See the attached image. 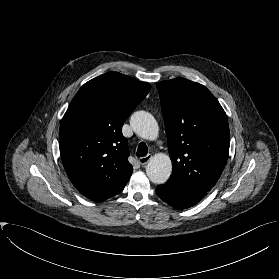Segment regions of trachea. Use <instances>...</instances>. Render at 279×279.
<instances>
[{"mask_svg":"<svg viewBox=\"0 0 279 279\" xmlns=\"http://www.w3.org/2000/svg\"><path fill=\"white\" fill-rule=\"evenodd\" d=\"M147 153H148L147 145L144 142H141L137 149V153H136L137 157H144L147 155Z\"/></svg>","mask_w":279,"mask_h":279,"instance_id":"obj_1","label":"trachea"}]
</instances>
